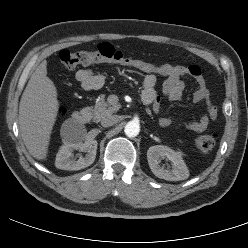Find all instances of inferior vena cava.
I'll use <instances>...</instances> for the list:
<instances>
[{"mask_svg":"<svg viewBox=\"0 0 248 248\" xmlns=\"http://www.w3.org/2000/svg\"><path fill=\"white\" fill-rule=\"evenodd\" d=\"M118 122V116L117 115H110L101 120V125L103 127H109Z\"/></svg>","mask_w":248,"mask_h":248,"instance_id":"602c4592","label":"inferior vena cava"}]
</instances>
